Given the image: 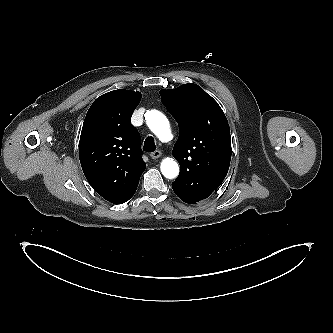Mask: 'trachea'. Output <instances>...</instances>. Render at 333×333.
Listing matches in <instances>:
<instances>
[{
    "label": "trachea",
    "instance_id": "obj_1",
    "mask_svg": "<svg viewBox=\"0 0 333 333\" xmlns=\"http://www.w3.org/2000/svg\"><path fill=\"white\" fill-rule=\"evenodd\" d=\"M155 149H156V146H155L154 138L151 136L147 137L144 142L143 150L146 152H153V151H155Z\"/></svg>",
    "mask_w": 333,
    "mask_h": 333
}]
</instances>
